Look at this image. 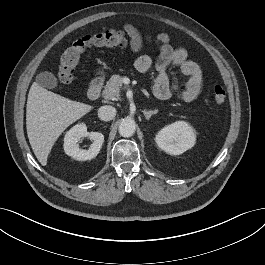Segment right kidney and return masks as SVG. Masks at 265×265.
<instances>
[{
    "mask_svg": "<svg viewBox=\"0 0 265 265\" xmlns=\"http://www.w3.org/2000/svg\"><path fill=\"white\" fill-rule=\"evenodd\" d=\"M89 137L92 140L88 150L81 149L78 142L81 138ZM104 142V136L99 132H88L85 124L72 127L64 138V151L75 160L86 161L96 157Z\"/></svg>",
    "mask_w": 265,
    "mask_h": 265,
    "instance_id": "ca27d5eb",
    "label": "right kidney"
}]
</instances>
